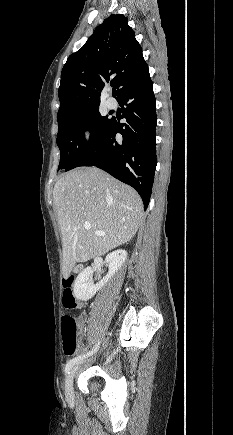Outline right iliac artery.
Instances as JSON below:
<instances>
[{"instance_id":"82829eb1","label":"right iliac artery","mask_w":233,"mask_h":435,"mask_svg":"<svg viewBox=\"0 0 233 435\" xmlns=\"http://www.w3.org/2000/svg\"><path fill=\"white\" fill-rule=\"evenodd\" d=\"M100 342L98 341V343L95 345V347L92 349V351H89L88 353L84 354V355H80L78 357H75L73 359H71L65 367V375L69 372V370L78 362H80L81 360H83V358H86L87 356L93 355L94 352L97 351L98 347H99Z\"/></svg>"}]
</instances>
